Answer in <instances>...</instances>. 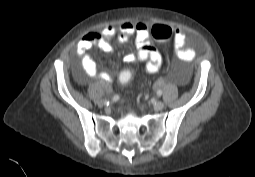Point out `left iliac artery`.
Here are the masks:
<instances>
[{
	"label": "left iliac artery",
	"mask_w": 255,
	"mask_h": 177,
	"mask_svg": "<svg viewBox=\"0 0 255 177\" xmlns=\"http://www.w3.org/2000/svg\"><path fill=\"white\" fill-rule=\"evenodd\" d=\"M157 95H158V96H161V95H162V91H161V90H158V91H157Z\"/></svg>",
	"instance_id": "1"
}]
</instances>
